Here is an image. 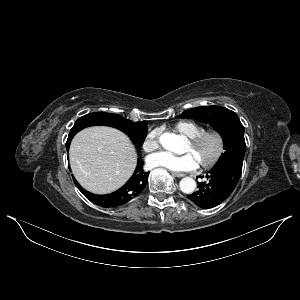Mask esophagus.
<instances>
[{
  "mask_svg": "<svg viewBox=\"0 0 300 300\" xmlns=\"http://www.w3.org/2000/svg\"><path fill=\"white\" fill-rule=\"evenodd\" d=\"M172 175L175 176V177H178V178H181V177L185 176V174L179 173V172H172Z\"/></svg>",
  "mask_w": 300,
  "mask_h": 300,
  "instance_id": "obj_1",
  "label": "esophagus"
}]
</instances>
